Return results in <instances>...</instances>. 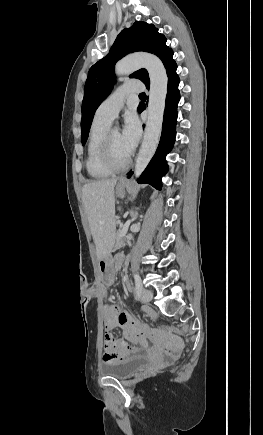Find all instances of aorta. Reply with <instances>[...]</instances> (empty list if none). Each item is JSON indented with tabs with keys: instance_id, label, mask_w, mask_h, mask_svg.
Returning a JSON list of instances; mask_svg holds the SVG:
<instances>
[{
	"instance_id": "aorta-1",
	"label": "aorta",
	"mask_w": 263,
	"mask_h": 435,
	"mask_svg": "<svg viewBox=\"0 0 263 435\" xmlns=\"http://www.w3.org/2000/svg\"><path fill=\"white\" fill-rule=\"evenodd\" d=\"M145 68L150 77V93L148 103V117L145 133L135 163V176L139 177L152 159L161 135L165 100L167 95L168 77L161 60L151 54L140 53L127 56L115 66L118 76Z\"/></svg>"
}]
</instances>
